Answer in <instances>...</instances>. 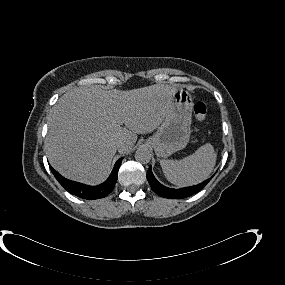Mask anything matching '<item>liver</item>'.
<instances>
[{"label": "liver", "instance_id": "obj_1", "mask_svg": "<svg viewBox=\"0 0 285 285\" xmlns=\"http://www.w3.org/2000/svg\"><path fill=\"white\" fill-rule=\"evenodd\" d=\"M175 89L155 84L127 91L92 86L66 92L48 116L50 164L71 180L92 185L105 181L116 151H130L137 134L150 133L162 123ZM117 143L123 146L118 149Z\"/></svg>", "mask_w": 285, "mask_h": 285}]
</instances>
